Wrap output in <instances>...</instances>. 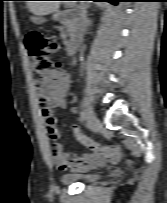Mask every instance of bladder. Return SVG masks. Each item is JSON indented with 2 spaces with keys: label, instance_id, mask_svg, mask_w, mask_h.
I'll return each instance as SVG.
<instances>
[{
  "label": "bladder",
  "instance_id": "bladder-1",
  "mask_svg": "<svg viewBox=\"0 0 167 203\" xmlns=\"http://www.w3.org/2000/svg\"><path fill=\"white\" fill-rule=\"evenodd\" d=\"M101 178L99 173H65L59 177V180L64 184L73 183H90L96 182Z\"/></svg>",
  "mask_w": 167,
  "mask_h": 203
}]
</instances>
